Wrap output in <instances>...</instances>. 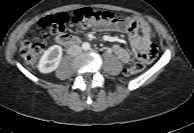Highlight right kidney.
<instances>
[{
  "label": "right kidney",
  "mask_w": 194,
  "mask_h": 133,
  "mask_svg": "<svg viewBox=\"0 0 194 133\" xmlns=\"http://www.w3.org/2000/svg\"><path fill=\"white\" fill-rule=\"evenodd\" d=\"M62 58V47L53 45L42 55L37 67L41 73L47 74L57 69Z\"/></svg>",
  "instance_id": "right-kidney-1"
}]
</instances>
